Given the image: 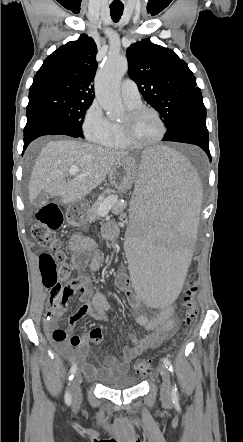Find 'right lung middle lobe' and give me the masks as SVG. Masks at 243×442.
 <instances>
[{
    "mask_svg": "<svg viewBox=\"0 0 243 442\" xmlns=\"http://www.w3.org/2000/svg\"><path fill=\"white\" fill-rule=\"evenodd\" d=\"M91 104L66 94L45 93L29 97L26 113L43 112L55 116L83 137L82 123Z\"/></svg>",
    "mask_w": 243,
    "mask_h": 442,
    "instance_id": "dd1d6c3e",
    "label": "right lung middle lobe"
}]
</instances>
